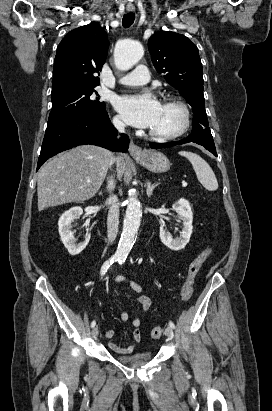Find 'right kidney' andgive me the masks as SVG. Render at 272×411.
I'll return each mask as SVG.
<instances>
[{"label":"right kidney","mask_w":272,"mask_h":411,"mask_svg":"<svg viewBox=\"0 0 272 411\" xmlns=\"http://www.w3.org/2000/svg\"><path fill=\"white\" fill-rule=\"evenodd\" d=\"M83 214V209L79 206L72 207L71 209L65 211L59 218V234L62 243L68 250L70 255H77L81 253L85 247L88 245L90 236L86 237L83 243H76L74 234L71 231L72 223L74 220L78 219Z\"/></svg>","instance_id":"obj_1"}]
</instances>
